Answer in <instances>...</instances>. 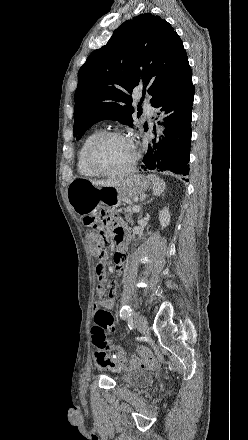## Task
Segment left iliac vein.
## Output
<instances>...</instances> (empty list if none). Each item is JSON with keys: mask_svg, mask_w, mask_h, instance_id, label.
I'll return each instance as SVG.
<instances>
[{"mask_svg": "<svg viewBox=\"0 0 248 440\" xmlns=\"http://www.w3.org/2000/svg\"><path fill=\"white\" fill-rule=\"evenodd\" d=\"M135 325H136L137 329L141 332H144L148 329L147 319L141 315L135 316Z\"/></svg>", "mask_w": 248, "mask_h": 440, "instance_id": "4c4485c4", "label": "left iliac vein"}]
</instances>
